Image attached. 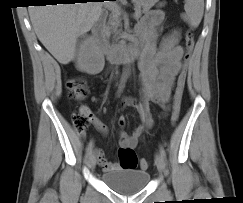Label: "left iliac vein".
I'll list each match as a JSON object with an SVG mask.
<instances>
[{"instance_id":"obj_1","label":"left iliac vein","mask_w":243,"mask_h":203,"mask_svg":"<svg viewBox=\"0 0 243 203\" xmlns=\"http://www.w3.org/2000/svg\"><path fill=\"white\" fill-rule=\"evenodd\" d=\"M155 164L160 172L164 171V168H165L164 158L159 153L156 154V156H155Z\"/></svg>"}]
</instances>
